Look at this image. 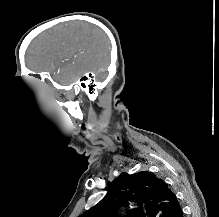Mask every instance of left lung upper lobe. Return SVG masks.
<instances>
[{
  "label": "left lung upper lobe",
  "mask_w": 219,
  "mask_h": 217,
  "mask_svg": "<svg viewBox=\"0 0 219 217\" xmlns=\"http://www.w3.org/2000/svg\"><path fill=\"white\" fill-rule=\"evenodd\" d=\"M129 200L140 204L129 212V217H174L180 209L176 195L162 179L152 172L141 171L122 173L109 184L106 196L79 217H117V207L128 205Z\"/></svg>",
  "instance_id": "1"
}]
</instances>
